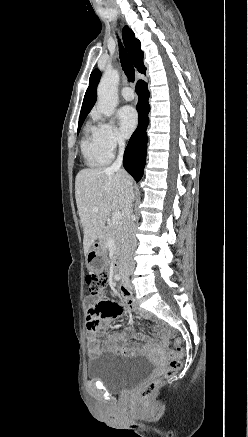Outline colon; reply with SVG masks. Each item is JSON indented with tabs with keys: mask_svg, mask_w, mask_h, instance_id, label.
Instances as JSON below:
<instances>
[{
	"mask_svg": "<svg viewBox=\"0 0 248 437\" xmlns=\"http://www.w3.org/2000/svg\"><path fill=\"white\" fill-rule=\"evenodd\" d=\"M110 279L109 273L106 272H89L86 276V283L90 294H99L108 284ZM115 312V310H114ZM97 316V314H96ZM182 344L179 338L174 339L173 349L170 351V360L162 375L145 383L140 391L139 397L142 400H148L158 389L165 379L172 377L181 367Z\"/></svg>",
	"mask_w": 248,
	"mask_h": 437,
	"instance_id": "5ec220e1",
	"label": "colon"
}]
</instances>
